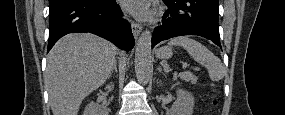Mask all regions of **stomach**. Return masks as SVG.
<instances>
[{
	"label": "stomach",
	"instance_id": "obj_1",
	"mask_svg": "<svg viewBox=\"0 0 285 115\" xmlns=\"http://www.w3.org/2000/svg\"><path fill=\"white\" fill-rule=\"evenodd\" d=\"M173 52L171 48L161 47L156 50V57L160 59H168L171 58Z\"/></svg>",
	"mask_w": 285,
	"mask_h": 115
}]
</instances>
